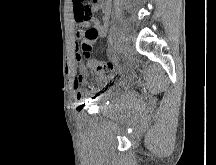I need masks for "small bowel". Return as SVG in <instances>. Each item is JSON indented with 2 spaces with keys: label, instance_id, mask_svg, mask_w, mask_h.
<instances>
[{
  "label": "small bowel",
  "instance_id": "1",
  "mask_svg": "<svg viewBox=\"0 0 216 165\" xmlns=\"http://www.w3.org/2000/svg\"><path fill=\"white\" fill-rule=\"evenodd\" d=\"M73 3V15L76 23V38L78 41H83L85 38V31L90 28H95L97 30V36L90 41L92 44L97 40L99 36L105 35L107 31V19H108V8L103 7L102 0H93L92 2H79L78 0H72ZM104 8V21L100 23L97 19L89 17L84 19L81 17V13H94ZM93 26V27H91ZM82 77L77 76L74 81V93L79 99L81 96L80 84L82 83Z\"/></svg>",
  "mask_w": 216,
  "mask_h": 165
}]
</instances>
